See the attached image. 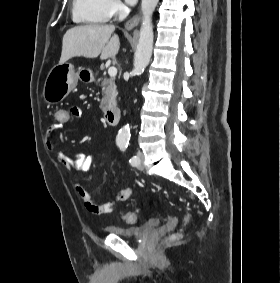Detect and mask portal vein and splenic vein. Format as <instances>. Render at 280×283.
I'll list each match as a JSON object with an SVG mask.
<instances>
[{
  "instance_id": "portal-vein-and-splenic-vein-1",
  "label": "portal vein and splenic vein",
  "mask_w": 280,
  "mask_h": 283,
  "mask_svg": "<svg viewBox=\"0 0 280 283\" xmlns=\"http://www.w3.org/2000/svg\"><path fill=\"white\" fill-rule=\"evenodd\" d=\"M108 75L110 77H115L117 75V69L116 67L112 66L108 69Z\"/></svg>"
}]
</instances>
